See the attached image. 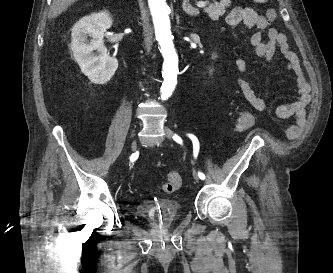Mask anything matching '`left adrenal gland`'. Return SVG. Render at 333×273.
<instances>
[{
	"instance_id": "left-adrenal-gland-1",
	"label": "left adrenal gland",
	"mask_w": 333,
	"mask_h": 273,
	"mask_svg": "<svg viewBox=\"0 0 333 273\" xmlns=\"http://www.w3.org/2000/svg\"><path fill=\"white\" fill-rule=\"evenodd\" d=\"M183 10L190 16H197L199 14V10L194 8L190 3L189 0H183L182 3Z\"/></svg>"
}]
</instances>
